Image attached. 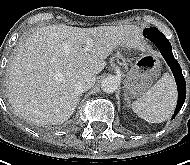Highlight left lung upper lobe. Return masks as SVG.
Returning a JSON list of instances; mask_svg holds the SVG:
<instances>
[{
    "mask_svg": "<svg viewBox=\"0 0 190 165\" xmlns=\"http://www.w3.org/2000/svg\"><path fill=\"white\" fill-rule=\"evenodd\" d=\"M158 34H161V32L157 28H146L143 31V35L146 36L148 39Z\"/></svg>",
    "mask_w": 190,
    "mask_h": 165,
    "instance_id": "5c2ea615",
    "label": "left lung upper lobe"
}]
</instances>
